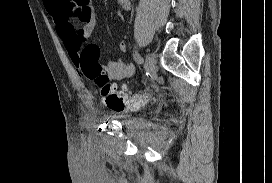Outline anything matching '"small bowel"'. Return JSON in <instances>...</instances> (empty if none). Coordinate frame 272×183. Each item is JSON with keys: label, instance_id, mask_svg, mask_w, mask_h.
<instances>
[{"label": "small bowel", "instance_id": "small-bowel-1", "mask_svg": "<svg viewBox=\"0 0 272 183\" xmlns=\"http://www.w3.org/2000/svg\"><path fill=\"white\" fill-rule=\"evenodd\" d=\"M120 6L128 10L130 0H118ZM46 11L53 17L58 36L63 40L73 62L78 66L82 46L91 36L96 26L95 6L91 0H43ZM75 23L80 26L78 29ZM119 49L126 50L124 42H120ZM104 71L115 81L126 80L134 75L132 64L122 60L108 61Z\"/></svg>", "mask_w": 272, "mask_h": 183}]
</instances>
